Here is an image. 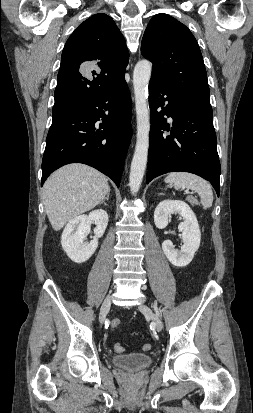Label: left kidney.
Instances as JSON below:
<instances>
[{"label": "left kidney", "instance_id": "left-kidney-1", "mask_svg": "<svg viewBox=\"0 0 253 413\" xmlns=\"http://www.w3.org/2000/svg\"><path fill=\"white\" fill-rule=\"evenodd\" d=\"M174 213L184 218V221L178 226L179 231L182 232L184 244L180 250H177L170 240H165L162 243V249L172 265L185 267L192 261L200 246L201 232L194 212L187 203L181 200H163L158 204L154 212L156 227L165 228Z\"/></svg>", "mask_w": 253, "mask_h": 413}]
</instances>
